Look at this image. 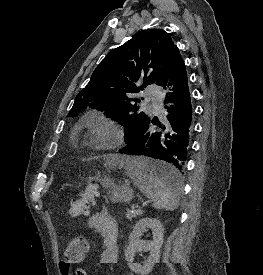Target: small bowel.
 Listing matches in <instances>:
<instances>
[{
    "label": "small bowel",
    "mask_w": 263,
    "mask_h": 275,
    "mask_svg": "<svg viewBox=\"0 0 263 275\" xmlns=\"http://www.w3.org/2000/svg\"><path fill=\"white\" fill-rule=\"evenodd\" d=\"M87 226L96 230L102 237V252L100 263L112 265L116 263L118 256V223L116 219L106 209H102L90 215L87 219ZM70 269H63L60 264L62 275H69Z\"/></svg>",
    "instance_id": "1"
}]
</instances>
